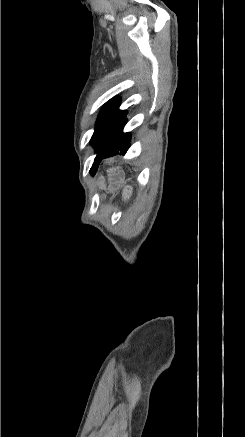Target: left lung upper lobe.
<instances>
[{
  "label": "left lung upper lobe",
  "mask_w": 245,
  "mask_h": 437,
  "mask_svg": "<svg viewBox=\"0 0 245 437\" xmlns=\"http://www.w3.org/2000/svg\"><path fill=\"white\" fill-rule=\"evenodd\" d=\"M120 100L119 97L113 98L108 101L102 108L98 119L96 121L95 131L90 140V143L96 149L97 155L100 153L106 140L116 127V125L127 114L125 110H119ZM97 157V156H96ZM96 159V158H95ZM96 168L91 170H95Z\"/></svg>",
  "instance_id": "5c2ea615"
}]
</instances>
